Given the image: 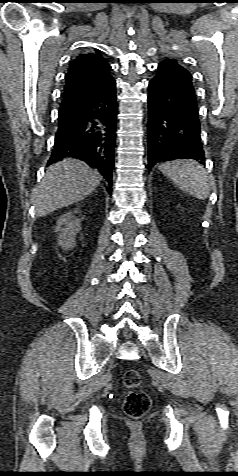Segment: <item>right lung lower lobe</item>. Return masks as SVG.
Segmentation results:
<instances>
[{
    "label": "right lung lower lobe",
    "instance_id": "right-lung-lower-lobe-1",
    "mask_svg": "<svg viewBox=\"0 0 238 476\" xmlns=\"http://www.w3.org/2000/svg\"><path fill=\"white\" fill-rule=\"evenodd\" d=\"M113 77L85 101L60 110L58 130L50 160L64 157L85 161L112 185L117 102Z\"/></svg>",
    "mask_w": 238,
    "mask_h": 476
}]
</instances>
